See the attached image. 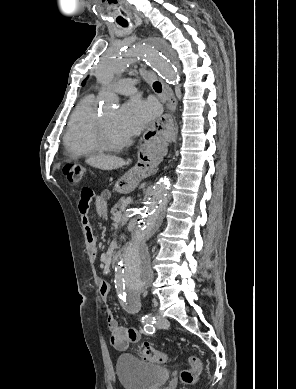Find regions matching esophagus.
I'll return each instance as SVG.
<instances>
[{
  "mask_svg": "<svg viewBox=\"0 0 296 389\" xmlns=\"http://www.w3.org/2000/svg\"><path fill=\"white\" fill-rule=\"evenodd\" d=\"M163 94L166 98V108L169 112H161L159 119L153 118L151 126L147 127L146 135L148 144L141 145L138 151V162L135 169H157L158 164L162 163L165 149L163 139L169 131L173 130L175 123V114L173 113L177 106V100L173 90L168 84L161 80Z\"/></svg>",
  "mask_w": 296,
  "mask_h": 389,
  "instance_id": "34e87169",
  "label": "esophagus"
}]
</instances>
